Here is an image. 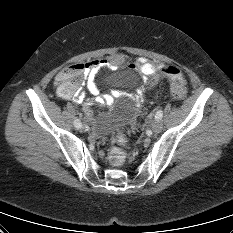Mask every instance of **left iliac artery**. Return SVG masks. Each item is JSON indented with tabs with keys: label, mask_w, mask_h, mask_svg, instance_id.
Returning <instances> with one entry per match:
<instances>
[{
	"label": "left iliac artery",
	"mask_w": 233,
	"mask_h": 233,
	"mask_svg": "<svg viewBox=\"0 0 233 233\" xmlns=\"http://www.w3.org/2000/svg\"><path fill=\"white\" fill-rule=\"evenodd\" d=\"M162 117H163V111H162V110H158V111L156 112L155 119H156V120H161Z\"/></svg>",
	"instance_id": "left-iliac-artery-1"
}]
</instances>
